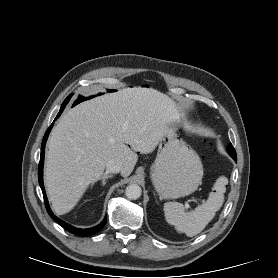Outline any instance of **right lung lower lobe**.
<instances>
[{
	"label": "right lung lower lobe",
	"mask_w": 278,
	"mask_h": 278,
	"mask_svg": "<svg viewBox=\"0 0 278 278\" xmlns=\"http://www.w3.org/2000/svg\"><path fill=\"white\" fill-rule=\"evenodd\" d=\"M66 104H62L60 111L58 113V115L56 116L55 120L61 115V113L63 112L64 108H65ZM53 126V123L51 124V126L48 128V130L46 131L43 141H42V145H41V156H40V162H39V169H38V179H39V184L40 187L42 189L43 192V196H44V200H45V205H46V209L49 213V215L58 223L60 224L63 228H65L67 231L76 234V235H82V236H90L93 235L95 233H97L106 223V217L104 218V220L97 226H94L92 228H87V229H79V228H75L67 223H65L64 221H62L61 219L57 218L51 211L48 201H47V197H46V193H45V189H44V185H43V162H44V151H45V143L46 140L48 138L49 132L51 130Z\"/></svg>",
	"instance_id": "obj_1"
}]
</instances>
